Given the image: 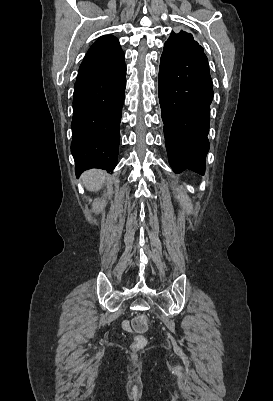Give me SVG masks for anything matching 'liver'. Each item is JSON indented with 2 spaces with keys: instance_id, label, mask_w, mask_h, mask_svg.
<instances>
[{
  "instance_id": "liver-1",
  "label": "liver",
  "mask_w": 273,
  "mask_h": 401,
  "mask_svg": "<svg viewBox=\"0 0 273 401\" xmlns=\"http://www.w3.org/2000/svg\"><path fill=\"white\" fill-rule=\"evenodd\" d=\"M107 172L105 170H97V168H92V170H86L82 174L83 184H85L88 190H98L102 182L106 178Z\"/></svg>"
}]
</instances>
